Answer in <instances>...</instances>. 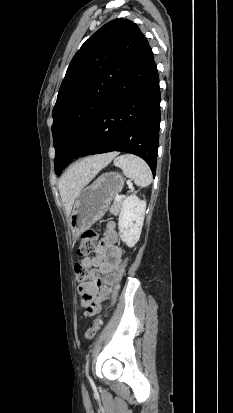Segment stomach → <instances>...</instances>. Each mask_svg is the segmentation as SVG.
<instances>
[{"label": "stomach", "instance_id": "stomach-1", "mask_svg": "<svg viewBox=\"0 0 233 413\" xmlns=\"http://www.w3.org/2000/svg\"><path fill=\"white\" fill-rule=\"evenodd\" d=\"M123 186V177L118 173L109 172L102 174L91 185L81 190L69 218L74 239H78L85 230L104 216L114 196Z\"/></svg>", "mask_w": 233, "mask_h": 413}]
</instances>
